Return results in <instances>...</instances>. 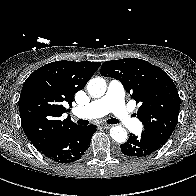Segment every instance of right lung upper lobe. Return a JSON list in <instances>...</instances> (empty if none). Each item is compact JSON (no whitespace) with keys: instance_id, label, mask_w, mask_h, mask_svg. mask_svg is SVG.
Here are the masks:
<instances>
[{"instance_id":"obj_1","label":"right lung upper lobe","mask_w":196,"mask_h":196,"mask_svg":"<svg viewBox=\"0 0 196 196\" xmlns=\"http://www.w3.org/2000/svg\"><path fill=\"white\" fill-rule=\"evenodd\" d=\"M101 62L56 61L35 70L25 81L19 110L22 128L37 150L76 124L59 120L65 106L83 89Z\"/></svg>"}]
</instances>
